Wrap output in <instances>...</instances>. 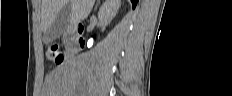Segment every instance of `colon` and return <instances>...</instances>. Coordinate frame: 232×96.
<instances>
[{"label": "colon", "mask_w": 232, "mask_h": 96, "mask_svg": "<svg viewBox=\"0 0 232 96\" xmlns=\"http://www.w3.org/2000/svg\"><path fill=\"white\" fill-rule=\"evenodd\" d=\"M48 58L54 63H61L64 59V55L62 51L59 49V46L56 44H52L48 47L47 50Z\"/></svg>", "instance_id": "1"}]
</instances>
